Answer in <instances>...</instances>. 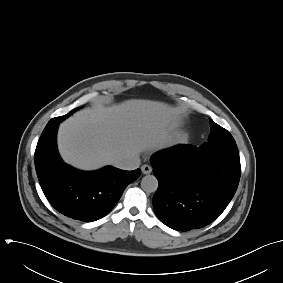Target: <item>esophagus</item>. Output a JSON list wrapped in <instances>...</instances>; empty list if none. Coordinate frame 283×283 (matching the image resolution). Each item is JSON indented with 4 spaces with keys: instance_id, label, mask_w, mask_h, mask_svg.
Returning a JSON list of instances; mask_svg holds the SVG:
<instances>
[{
    "instance_id": "obj_1",
    "label": "esophagus",
    "mask_w": 283,
    "mask_h": 283,
    "mask_svg": "<svg viewBox=\"0 0 283 283\" xmlns=\"http://www.w3.org/2000/svg\"><path fill=\"white\" fill-rule=\"evenodd\" d=\"M141 172L143 174H150L152 172V168H151V166L144 164V165L141 166Z\"/></svg>"
}]
</instances>
